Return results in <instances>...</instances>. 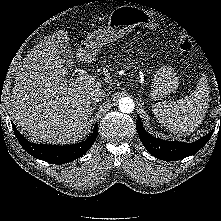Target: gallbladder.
<instances>
[{"label": "gallbladder", "mask_w": 221, "mask_h": 221, "mask_svg": "<svg viewBox=\"0 0 221 221\" xmlns=\"http://www.w3.org/2000/svg\"><path fill=\"white\" fill-rule=\"evenodd\" d=\"M58 55L63 60L64 64L71 66L73 63V54L72 50L68 45L62 44L58 48Z\"/></svg>", "instance_id": "obj_1"}]
</instances>
